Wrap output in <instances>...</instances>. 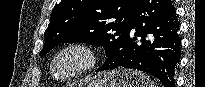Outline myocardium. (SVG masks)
<instances>
[{"label":"myocardium","mask_w":205,"mask_h":87,"mask_svg":"<svg viewBox=\"0 0 205 87\" xmlns=\"http://www.w3.org/2000/svg\"><path fill=\"white\" fill-rule=\"evenodd\" d=\"M66 52H78L82 55L83 61L78 67H76L69 73L62 76H58L54 71L55 62L62 54ZM98 62V54L91 45L84 42H71L61 46L54 52L49 63V71L52 78H54L55 80L67 81L81 77L91 72L96 68Z\"/></svg>","instance_id":"myocardium-1"}]
</instances>
